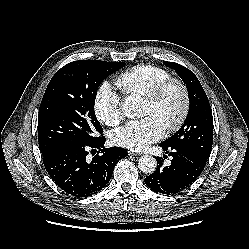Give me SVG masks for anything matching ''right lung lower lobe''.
<instances>
[{
  "mask_svg": "<svg viewBox=\"0 0 249 249\" xmlns=\"http://www.w3.org/2000/svg\"><path fill=\"white\" fill-rule=\"evenodd\" d=\"M105 137H97L85 144L64 147L43 155L44 166L52 180L66 193L88 197L98 193L109 182L117 162L127 156L121 147L105 148ZM92 161L89 150L96 153Z\"/></svg>",
  "mask_w": 249,
  "mask_h": 249,
  "instance_id": "right-lung-lower-lobe-1",
  "label": "right lung lower lobe"
}]
</instances>
